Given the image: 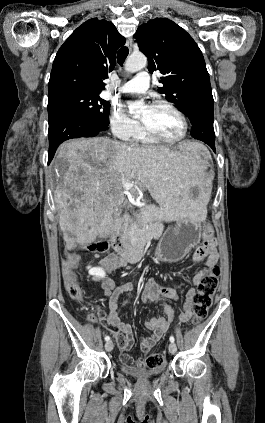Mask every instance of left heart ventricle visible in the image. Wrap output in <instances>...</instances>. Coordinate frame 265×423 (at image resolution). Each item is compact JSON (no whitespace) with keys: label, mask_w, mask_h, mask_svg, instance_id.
Listing matches in <instances>:
<instances>
[{"label":"left heart ventricle","mask_w":265,"mask_h":423,"mask_svg":"<svg viewBox=\"0 0 265 423\" xmlns=\"http://www.w3.org/2000/svg\"><path fill=\"white\" fill-rule=\"evenodd\" d=\"M139 119L151 130L166 138H177L183 131L181 119L169 108L146 107Z\"/></svg>","instance_id":"b2bd125f"}]
</instances>
